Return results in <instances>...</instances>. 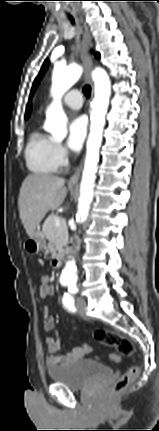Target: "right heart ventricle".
<instances>
[{
	"label": "right heart ventricle",
	"instance_id": "1",
	"mask_svg": "<svg viewBox=\"0 0 159 431\" xmlns=\"http://www.w3.org/2000/svg\"><path fill=\"white\" fill-rule=\"evenodd\" d=\"M53 141L39 130H33L25 148L28 169L37 174H52L59 166L53 154Z\"/></svg>",
	"mask_w": 159,
	"mask_h": 431
}]
</instances>
